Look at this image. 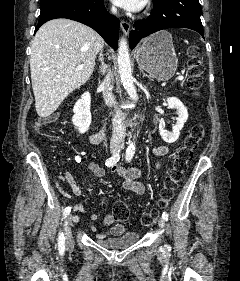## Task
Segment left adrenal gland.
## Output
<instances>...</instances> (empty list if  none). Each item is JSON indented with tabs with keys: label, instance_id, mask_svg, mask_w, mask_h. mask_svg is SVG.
Returning <instances> with one entry per match:
<instances>
[{
	"label": "left adrenal gland",
	"instance_id": "obj_1",
	"mask_svg": "<svg viewBox=\"0 0 240 281\" xmlns=\"http://www.w3.org/2000/svg\"><path fill=\"white\" fill-rule=\"evenodd\" d=\"M140 71L142 72L143 74V77H147L150 81H153V78H151V76L147 75L144 73V71L142 69H140Z\"/></svg>",
	"mask_w": 240,
	"mask_h": 281
}]
</instances>
